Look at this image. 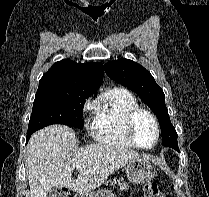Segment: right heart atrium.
I'll use <instances>...</instances> for the list:
<instances>
[{
	"instance_id": "1",
	"label": "right heart atrium",
	"mask_w": 209,
	"mask_h": 197,
	"mask_svg": "<svg viewBox=\"0 0 209 197\" xmlns=\"http://www.w3.org/2000/svg\"><path fill=\"white\" fill-rule=\"evenodd\" d=\"M95 107H96L95 102L92 100H89L85 103V105L83 107V111H84V113H88V112L94 110Z\"/></svg>"
}]
</instances>
